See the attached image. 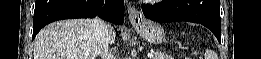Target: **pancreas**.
Returning <instances> with one entry per match:
<instances>
[{
	"instance_id": "pancreas-1",
	"label": "pancreas",
	"mask_w": 261,
	"mask_h": 59,
	"mask_svg": "<svg viewBox=\"0 0 261 59\" xmlns=\"http://www.w3.org/2000/svg\"><path fill=\"white\" fill-rule=\"evenodd\" d=\"M172 57L168 56L167 54H164L163 52L156 51L153 52V57L150 59H171Z\"/></svg>"
}]
</instances>
